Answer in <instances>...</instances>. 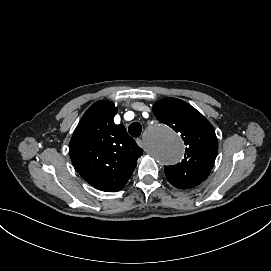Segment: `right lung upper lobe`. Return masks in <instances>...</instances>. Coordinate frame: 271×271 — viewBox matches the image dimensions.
I'll return each instance as SVG.
<instances>
[{
	"label": "right lung upper lobe",
	"instance_id": "right-lung-upper-lobe-1",
	"mask_svg": "<svg viewBox=\"0 0 271 271\" xmlns=\"http://www.w3.org/2000/svg\"><path fill=\"white\" fill-rule=\"evenodd\" d=\"M116 113L112 102L94 103L83 115L69 145L71 161L79 174L106 192L125 186L143 153L125 127L114 123Z\"/></svg>",
	"mask_w": 271,
	"mask_h": 271
}]
</instances>
